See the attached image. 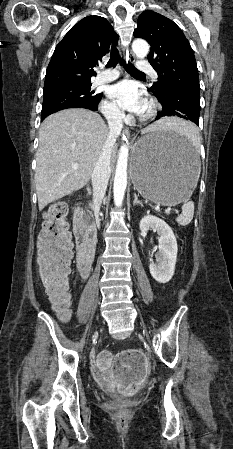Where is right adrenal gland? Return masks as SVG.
<instances>
[{
  "instance_id": "obj_1",
  "label": "right adrenal gland",
  "mask_w": 233,
  "mask_h": 449,
  "mask_svg": "<svg viewBox=\"0 0 233 449\" xmlns=\"http://www.w3.org/2000/svg\"><path fill=\"white\" fill-rule=\"evenodd\" d=\"M87 190H88V193H89V194H91V193H92V192H91V188H89V187H88V189H87Z\"/></svg>"
}]
</instances>
